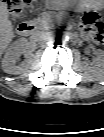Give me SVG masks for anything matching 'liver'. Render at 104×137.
Returning a JSON list of instances; mask_svg holds the SVG:
<instances>
[{"mask_svg": "<svg viewBox=\"0 0 104 137\" xmlns=\"http://www.w3.org/2000/svg\"><path fill=\"white\" fill-rule=\"evenodd\" d=\"M14 37L11 21L8 19V10L6 4L0 7V47L4 51L11 43Z\"/></svg>", "mask_w": 104, "mask_h": 137, "instance_id": "liver-1", "label": "liver"}]
</instances>
